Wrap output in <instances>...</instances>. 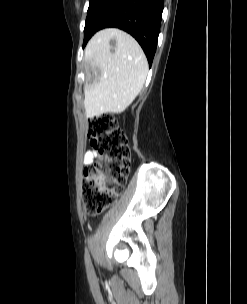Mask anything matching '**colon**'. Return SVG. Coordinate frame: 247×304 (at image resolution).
<instances>
[{"instance_id":"1","label":"colon","mask_w":247,"mask_h":304,"mask_svg":"<svg viewBox=\"0 0 247 304\" xmlns=\"http://www.w3.org/2000/svg\"><path fill=\"white\" fill-rule=\"evenodd\" d=\"M88 137L98 157L84 172L82 196L88 213L95 215L111 206L122 192L131 154L127 138L112 114L93 118Z\"/></svg>"}]
</instances>
